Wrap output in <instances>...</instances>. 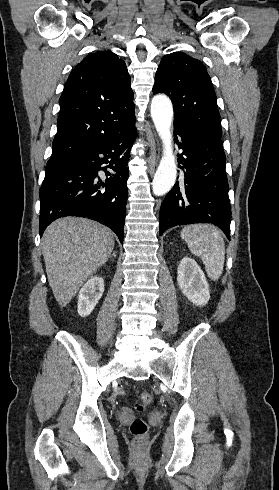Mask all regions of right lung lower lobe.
<instances>
[{
  "label": "right lung lower lobe",
  "mask_w": 279,
  "mask_h": 490,
  "mask_svg": "<svg viewBox=\"0 0 279 490\" xmlns=\"http://www.w3.org/2000/svg\"><path fill=\"white\" fill-rule=\"evenodd\" d=\"M136 135L134 126L95 149L60 163L58 170L45 176L39 191L40 236L57 218L79 216L108 226L122 243L128 196L127 163ZM103 164L109 165L101 167ZM100 170L109 176L104 181L98 177Z\"/></svg>",
  "instance_id": "98d812e1"
}]
</instances>
